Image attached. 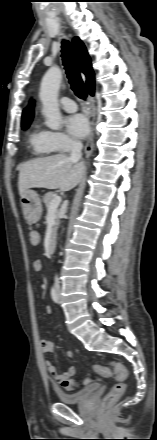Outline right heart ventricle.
<instances>
[{"mask_svg":"<svg viewBox=\"0 0 157 440\" xmlns=\"http://www.w3.org/2000/svg\"><path fill=\"white\" fill-rule=\"evenodd\" d=\"M28 145L35 155H48L55 150L49 140V131L36 123L29 132Z\"/></svg>","mask_w":157,"mask_h":440,"instance_id":"1","label":"right heart ventricle"}]
</instances>
